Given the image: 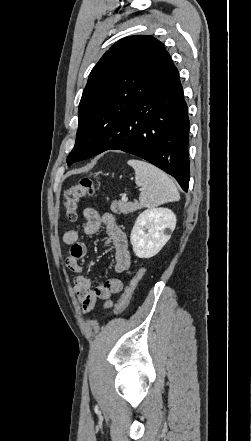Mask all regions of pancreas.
Instances as JSON below:
<instances>
[{
	"mask_svg": "<svg viewBox=\"0 0 251 441\" xmlns=\"http://www.w3.org/2000/svg\"><path fill=\"white\" fill-rule=\"evenodd\" d=\"M142 206L138 202H126V201H113L111 204V211L113 213H123V214H129L132 212H135L137 210H140Z\"/></svg>",
	"mask_w": 251,
	"mask_h": 441,
	"instance_id": "obj_1",
	"label": "pancreas"
}]
</instances>
